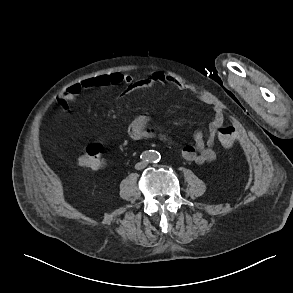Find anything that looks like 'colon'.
<instances>
[{
    "label": "colon",
    "instance_id": "obj_1",
    "mask_svg": "<svg viewBox=\"0 0 293 293\" xmlns=\"http://www.w3.org/2000/svg\"><path fill=\"white\" fill-rule=\"evenodd\" d=\"M236 139V131L232 126H226L219 130L218 140L223 147H231ZM103 146L101 143L93 142L86 146L84 152L78 157L79 166L97 170L104 165Z\"/></svg>",
    "mask_w": 293,
    "mask_h": 293
}]
</instances>
